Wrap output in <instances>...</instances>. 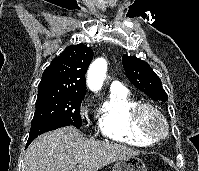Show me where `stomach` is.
Wrapping results in <instances>:
<instances>
[{
    "instance_id": "stomach-1",
    "label": "stomach",
    "mask_w": 199,
    "mask_h": 171,
    "mask_svg": "<svg viewBox=\"0 0 199 171\" xmlns=\"http://www.w3.org/2000/svg\"><path fill=\"white\" fill-rule=\"evenodd\" d=\"M113 171H147L144 162L135 156L118 160L114 166Z\"/></svg>"
}]
</instances>
